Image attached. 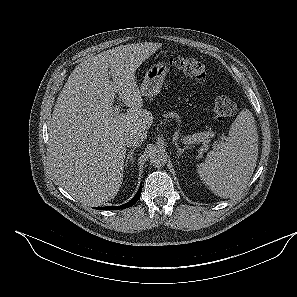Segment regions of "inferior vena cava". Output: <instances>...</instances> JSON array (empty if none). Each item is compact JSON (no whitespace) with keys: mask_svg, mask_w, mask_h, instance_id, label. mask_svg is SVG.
Instances as JSON below:
<instances>
[{"mask_svg":"<svg viewBox=\"0 0 297 297\" xmlns=\"http://www.w3.org/2000/svg\"><path fill=\"white\" fill-rule=\"evenodd\" d=\"M144 136L140 133H131L125 137V146L135 147L142 144Z\"/></svg>","mask_w":297,"mask_h":297,"instance_id":"obj_1","label":"inferior vena cava"}]
</instances>
